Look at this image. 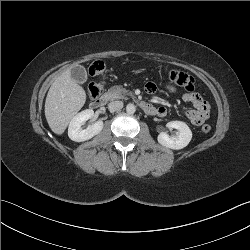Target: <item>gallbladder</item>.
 <instances>
[{"label": "gallbladder", "mask_w": 250, "mask_h": 250, "mask_svg": "<svg viewBox=\"0 0 250 250\" xmlns=\"http://www.w3.org/2000/svg\"><path fill=\"white\" fill-rule=\"evenodd\" d=\"M71 78L80 84L86 82V80H87L86 69L81 65L74 66L71 69Z\"/></svg>", "instance_id": "gallbladder-1"}]
</instances>
